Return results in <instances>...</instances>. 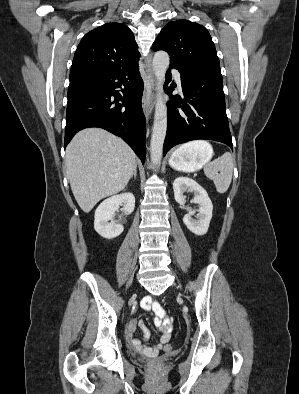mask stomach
<instances>
[{"label": "stomach", "mask_w": 299, "mask_h": 394, "mask_svg": "<svg viewBox=\"0 0 299 394\" xmlns=\"http://www.w3.org/2000/svg\"><path fill=\"white\" fill-rule=\"evenodd\" d=\"M213 150L207 146H182L172 153L170 166L178 171L195 172L212 157Z\"/></svg>", "instance_id": "1"}]
</instances>
